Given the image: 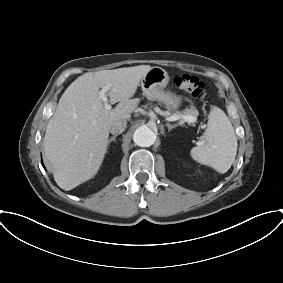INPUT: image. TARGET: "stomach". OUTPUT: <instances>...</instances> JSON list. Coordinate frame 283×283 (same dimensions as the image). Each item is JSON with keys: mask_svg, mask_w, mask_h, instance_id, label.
<instances>
[{"mask_svg": "<svg viewBox=\"0 0 283 283\" xmlns=\"http://www.w3.org/2000/svg\"><path fill=\"white\" fill-rule=\"evenodd\" d=\"M169 82V75L161 67H152L141 79V89L150 100H156L166 106L169 110H176L181 105V98L166 91L165 88Z\"/></svg>", "mask_w": 283, "mask_h": 283, "instance_id": "0dacf381", "label": "stomach"}]
</instances>
